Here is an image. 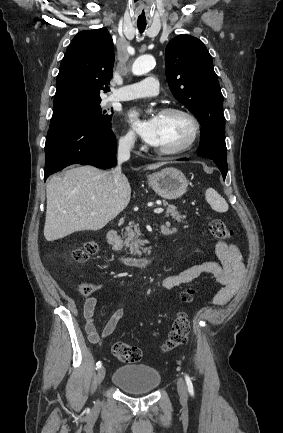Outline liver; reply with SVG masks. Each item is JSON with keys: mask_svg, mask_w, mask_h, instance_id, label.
Returning <instances> with one entry per match:
<instances>
[{"mask_svg": "<svg viewBox=\"0 0 283 433\" xmlns=\"http://www.w3.org/2000/svg\"><path fill=\"white\" fill-rule=\"evenodd\" d=\"M164 162L150 164L158 168ZM47 208L44 227L46 241L63 239L75 231H99L127 206L131 186L122 174L115 186L112 172L95 166H76L64 176L47 182Z\"/></svg>", "mask_w": 283, "mask_h": 433, "instance_id": "liver-1", "label": "liver"}]
</instances>
